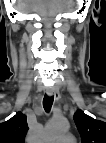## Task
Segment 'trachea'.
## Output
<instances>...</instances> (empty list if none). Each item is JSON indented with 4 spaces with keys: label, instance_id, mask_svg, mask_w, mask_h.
I'll return each instance as SVG.
<instances>
[{
    "label": "trachea",
    "instance_id": "trachea-1",
    "mask_svg": "<svg viewBox=\"0 0 106 143\" xmlns=\"http://www.w3.org/2000/svg\"><path fill=\"white\" fill-rule=\"evenodd\" d=\"M53 101H54V97H50L48 95L44 96L43 107H44L45 111H47V112L50 111L52 104H53Z\"/></svg>",
    "mask_w": 106,
    "mask_h": 143
}]
</instances>
